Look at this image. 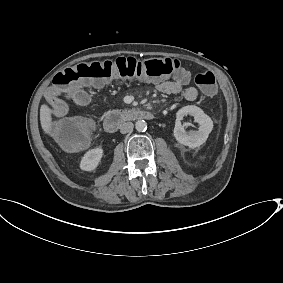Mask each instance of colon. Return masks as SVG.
<instances>
[{"mask_svg":"<svg viewBox=\"0 0 283 283\" xmlns=\"http://www.w3.org/2000/svg\"><path fill=\"white\" fill-rule=\"evenodd\" d=\"M179 69V63L172 58L136 59L119 57L91 63H80L59 72L53 84L66 93L78 105L89 103V95L83 89L85 85L101 86L115 79L160 80L169 77ZM195 83L206 95H214L217 82L212 72H203L195 76ZM94 123L84 116H73L60 120L51 128L54 140L64 149L76 151L89 144Z\"/></svg>","mask_w":283,"mask_h":283,"instance_id":"1","label":"colon"}]
</instances>
